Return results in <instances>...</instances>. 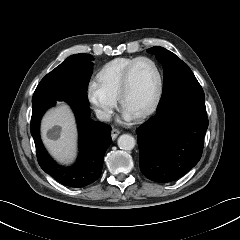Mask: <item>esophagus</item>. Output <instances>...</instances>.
Returning <instances> with one entry per match:
<instances>
[{
    "label": "esophagus",
    "instance_id": "obj_1",
    "mask_svg": "<svg viewBox=\"0 0 240 240\" xmlns=\"http://www.w3.org/2000/svg\"><path fill=\"white\" fill-rule=\"evenodd\" d=\"M120 134V131L116 128H112L111 130V138L115 140L117 136Z\"/></svg>",
    "mask_w": 240,
    "mask_h": 240
}]
</instances>
